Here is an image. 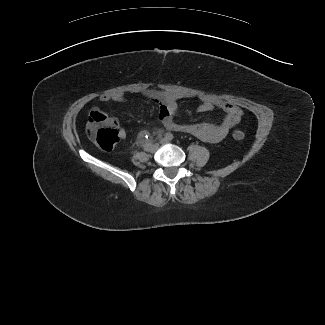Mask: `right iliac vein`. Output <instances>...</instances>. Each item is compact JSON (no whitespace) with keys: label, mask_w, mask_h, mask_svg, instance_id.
Returning <instances> with one entry per match:
<instances>
[{"label":"right iliac vein","mask_w":325,"mask_h":325,"mask_svg":"<svg viewBox=\"0 0 325 325\" xmlns=\"http://www.w3.org/2000/svg\"><path fill=\"white\" fill-rule=\"evenodd\" d=\"M158 150V145L157 144H152L149 148L148 151L150 153H155Z\"/></svg>","instance_id":"63e3f726"}]
</instances>
